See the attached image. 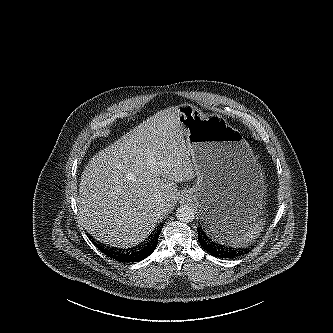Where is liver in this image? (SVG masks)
Instances as JSON below:
<instances>
[{"label":"liver","mask_w":333,"mask_h":333,"mask_svg":"<svg viewBox=\"0 0 333 333\" xmlns=\"http://www.w3.org/2000/svg\"><path fill=\"white\" fill-rule=\"evenodd\" d=\"M179 114L178 107L157 112L89 161L77 207L96 239L135 246L174 209L177 183L196 175ZM160 204L168 210L164 215L157 212Z\"/></svg>","instance_id":"6515ba94"}]
</instances>
